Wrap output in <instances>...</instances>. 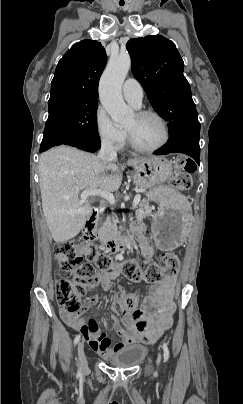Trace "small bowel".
I'll use <instances>...</instances> for the list:
<instances>
[{
  "instance_id": "1",
  "label": "small bowel",
  "mask_w": 243,
  "mask_h": 404,
  "mask_svg": "<svg viewBox=\"0 0 243 404\" xmlns=\"http://www.w3.org/2000/svg\"><path fill=\"white\" fill-rule=\"evenodd\" d=\"M140 236V247L146 262L153 258V247L150 238L142 235L143 227L137 224L133 227ZM121 275L120 270L113 273L100 272L97 274L95 284L103 289H109L111 280ZM175 279L167 278L160 284L152 287L151 293L143 303V308L137 309L126 316L125 328H123L118 318L114 317V330L120 337V342L111 345V340L106 334L99 331L96 321L74 317L64 310L61 311L63 320L76 331H80L88 341L90 348L98 355L109 358L110 355L120 348L143 342L154 343L172 323V315L175 311L174 302ZM98 297H92L90 304H96Z\"/></svg>"
}]
</instances>
